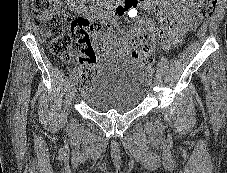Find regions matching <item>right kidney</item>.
<instances>
[{
    "label": "right kidney",
    "instance_id": "1",
    "mask_svg": "<svg viewBox=\"0 0 227 173\" xmlns=\"http://www.w3.org/2000/svg\"><path fill=\"white\" fill-rule=\"evenodd\" d=\"M86 0H68L69 9L71 11H79L83 8Z\"/></svg>",
    "mask_w": 227,
    "mask_h": 173
}]
</instances>
